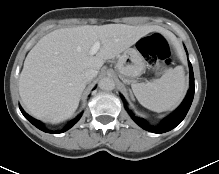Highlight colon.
<instances>
[{
	"label": "colon",
	"mask_w": 219,
	"mask_h": 174,
	"mask_svg": "<svg viewBox=\"0 0 219 174\" xmlns=\"http://www.w3.org/2000/svg\"><path fill=\"white\" fill-rule=\"evenodd\" d=\"M137 48L149 67L157 73L164 72L171 63L168 44L160 34L142 38L139 40Z\"/></svg>",
	"instance_id": "colon-1"
}]
</instances>
